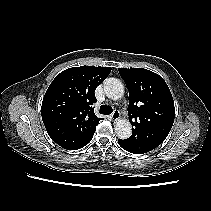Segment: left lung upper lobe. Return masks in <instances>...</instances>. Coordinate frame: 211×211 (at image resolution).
I'll return each mask as SVG.
<instances>
[{
	"mask_svg": "<svg viewBox=\"0 0 211 211\" xmlns=\"http://www.w3.org/2000/svg\"><path fill=\"white\" fill-rule=\"evenodd\" d=\"M129 90L128 113L132 135L125 140L133 148L153 150L169 134L175 108L164 79L144 68H119Z\"/></svg>",
	"mask_w": 211,
	"mask_h": 211,
	"instance_id": "obj_1",
	"label": "left lung upper lobe"
}]
</instances>
